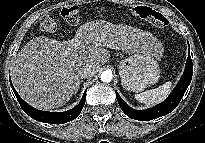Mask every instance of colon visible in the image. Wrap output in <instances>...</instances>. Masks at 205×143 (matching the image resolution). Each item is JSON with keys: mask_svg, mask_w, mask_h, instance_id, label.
I'll return each instance as SVG.
<instances>
[{"mask_svg": "<svg viewBox=\"0 0 205 143\" xmlns=\"http://www.w3.org/2000/svg\"><path fill=\"white\" fill-rule=\"evenodd\" d=\"M130 12L134 17L145 20L158 27H166L168 20L159 12L147 6H132ZM61 17L70 25H76L80 21L78 6H69L61 10ZM40 28L45 32H54L57 28L56 17L46 14L40 21Z\"/></svg>", "mask_w": 205, "mask_h": 143, "instance_id": "5ec220e1", "label": "colon"}]
</instances>
